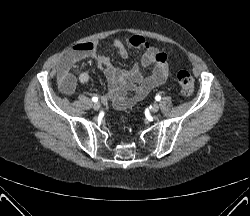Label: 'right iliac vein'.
<instances>
[{"instance_id":"1","label":"right iliac vein","mask_w":250,"mask_h":216,"mask_svg":"<svg viewBox=\"0 0 250 216\" xmlns=\"http://www.w3.org/2000/svg\"><path fill=\"white\" fill-rule=\"evenodd\" d=\"M100 107H101V105H100L99 102H96V103L93 104V109L96 110V111L99 110Z\"/></svg>"}]
</instances>
